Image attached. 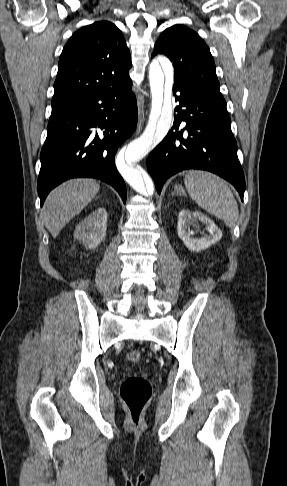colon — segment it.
<instances>
[{"instance_id":"1","label":"colon","mask_w":287,"mask_h":486,"mask_svg":"<svg viewBox=\"0 0 287 486\" xmlns=\"http://www.w3.org/2000/svg\"><path fill=\"white\" fill-rule=\"evenodd\" d=\"M126 359L131 363H138L141 360V354L137 350H132L126 354ZM151 396V384L144 376L130 375L122 382L120 397L133 424H139Z\"/></svg>"}]
</instances>
